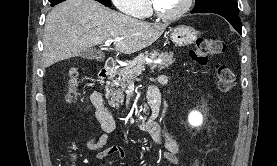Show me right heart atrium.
I'll list each match as a JSON object with an SVG mask.
<instances>
[{
  "label": "right heart atrium",
  "instance_id": "obj_1",
  "mask_svg": "<svg viewBox=\"0 0 277 166\" xmlns=\"http://www.w3.org/2000/svg\"><path fill=\"white\" fill-rule=\"evenodd\" d=\"M121 12L131 16H141L149 7L148 0H111Z\"/></svg>",
  "mask_w": 277,
  "mask_h": 166
}]
</instances>
